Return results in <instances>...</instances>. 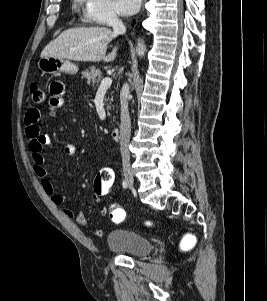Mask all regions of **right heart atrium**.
Masks as SVG:
<instances>
[{
    "label": "right heart atrium",
    "mask_w": 267,
    "mask_h": 301,
    "mask_svg": "<svg viewBox=\"0 0 267 301\" xmlns=\"http://www.w3.org/2000/svg\"><path fill=\"white\" fill-rule=\"evenodd\" d=\"M84 20L89 24L108 26L117 21L118 14L112 0H83Z\"/></svg>",
    "instance_id": "1"
}]
</instances>
